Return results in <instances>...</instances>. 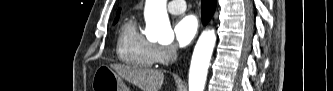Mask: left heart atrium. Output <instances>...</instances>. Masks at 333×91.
<instances>
[{"instance_id": "obj_1", "label": "left heart atrium", "mask_w": 333, "mask_h": 91, "mask_svg": "<svg viewBox=\"0 0 333 91\" xmlns=\"http://www.w3.org/2000/svg\"><path fill=\"white\" fill-rule=\"evenodd\" d=\"M198 29L195 16L186 15L177 20L174 26L175 38L180 47H186L194 39Z\"/></svg>"}]
</instances>
